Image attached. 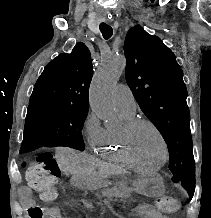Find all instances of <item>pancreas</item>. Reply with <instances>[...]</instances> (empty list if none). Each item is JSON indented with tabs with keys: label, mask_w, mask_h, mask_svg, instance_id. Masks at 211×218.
<instances>
[{
	"label": "pancreas",
	"mask_w": 211,
	"mask_h": 218,
	"mask_svg": "<svg viewBox=\"0 0 211 218\" xmlns=\"http://www.w3.org/2000/svg\"><path fill=\"white\" fill-rule=\"evenodd\" d=\"M109 189V188H108ZM133 190L132 188H126V186H120L117 190H101V195H118L122 196V198H130Z\"/></svg>",
	"instance_id": "pancreas-1"
}]
</instances>
